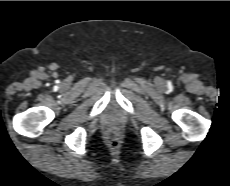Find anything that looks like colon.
I'll return each mask as SVG.
<instances>
[{"mask_svg": "<svg viewBox=\"0 0 230 186\" xmlns=\"http://www.w3.org/2000/svg\"><path fill=\"white\" fill-rule=\"evenodd\" d=\"M106 139L109 145L116 146L119 142V132L116 129L107 130Z\"/></svg>", "mask_w": 230, "mask_h": 186, "instance_id": "1", "label": "colon"}]
</instances>
